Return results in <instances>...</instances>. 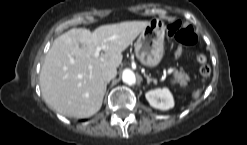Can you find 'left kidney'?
<instances>
[{
    "mask_svg": "<svg viewBox=\"0 0 247 145\" xmlns=\"http://www.w3.org/2000/svg\"><path fill=\"white\" fill-rule=\"evenodd\" d=\"M149 104L160 110H168L174 107V99L167 88L150 90L145 94Z\"/></svg>",
    "mask_w": 247,
    "mask_h": 145,
    "instance_id": "obj_1",
    "label": "left kidney"
}]
</instances>
